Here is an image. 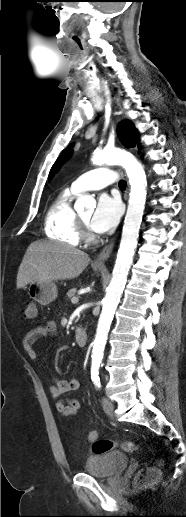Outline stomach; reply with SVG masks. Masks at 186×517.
Masks as SVG:
<instances>
[{
	"instance_id": "1",
	"label": "stomach",
	"mask_w": 186,
	"mask_h": 517,
	"mask_svg": "<svg viewBox=\"0 0 186 517\" xmlns=\"http://www.w3.org/2000/svg\"><path fill=\"white\" fill-rule=\"evenodd\" d=\"M95 270L101 271L102 267H95ZM28 295L39 304L48 305L57 298V286L53 281L30 283L28 287Z\"/></svg>"
}]
</instances>
